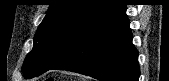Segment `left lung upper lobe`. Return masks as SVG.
<instances>
[{
  "label": "left lung upper lobe",
  "mask_w": 169,
  "mask_h": 81,
  "mask_svg": "<svg viewBox=\"0 0 169 81\" xmlns=\"http://www.w3.org/2000/svg\"><path fill=\"white\" fill-rule=\"evenodd\" d=\"M118 0H54L39 25L22 66L25 78L50 70L79 33Z\"/></svg>",
  "instance_id": "5c2ea615"
}]
</instances>
